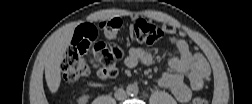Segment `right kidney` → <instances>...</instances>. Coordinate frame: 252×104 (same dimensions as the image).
Wrapping results in <instances>:
<instances>
[{"label": "right kidney", "instance_id": "ca27d5eb", "mask_svg": "<svg viewBox=\"0 0 252 104\" xmlns=\"http://www.w3.org/2000/svg\"><path fill=\"white\" fill-rule=\"evenodd\" d=\"M88 99H89L88 96L83 95V96H81V97L78 99V102H79V103H86V102H88Z\"/></svg>", "mask_w": 252, "mask_h": 104}]
</instances>
